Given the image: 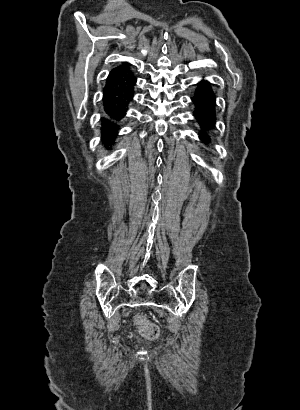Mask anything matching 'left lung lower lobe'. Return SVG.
Returning a JSON list of instances; mask_svg holds the SVG:
<instances>
[{
  "instance_id": "left-lung-lower-lobe-1",
  "label": "left lung lower lobe",
  "mask_w": 300,
  "mask_h": 410,
  "mask_svg": "<svg viewBox=\"0 0 300 410\" xmlns=\"http://www.w3.org/2000/svg\"><path fill=\"white\" fill-rule=\"evenodd\" d=\"M192 101L195 104L193 115L200 125L199 138L203 143L209 144V133L216 124V97L209 82L202 80L198 83Z\"/></svg>"
}]
</instances>
